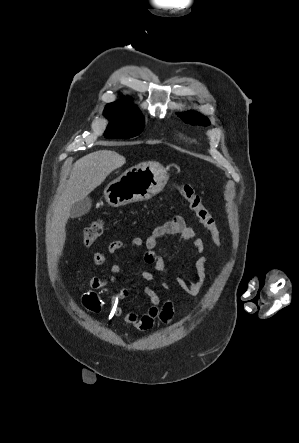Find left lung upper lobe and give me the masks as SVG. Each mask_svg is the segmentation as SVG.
<instances>
[{
  "instance_id": "obj_1",
  "label": "left lung upper lobe",
  "mask_w": 299,
  "mask_h": 443,
  "mask_svg": "<svg viewBox=\"0 0 299 443\" xmlns=\"http://www.w3.org/2000/svg\"><path fill=\"white\" fill-rule=\"evenodd\" d=\"M178 116L184 120L186 123H189L191 125H202V126H207L210 124L209 120L199 114V113H195L192 111H188L185 113H179Z\"/></svg>"
}]
</instances>
